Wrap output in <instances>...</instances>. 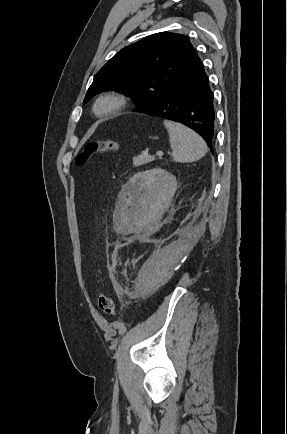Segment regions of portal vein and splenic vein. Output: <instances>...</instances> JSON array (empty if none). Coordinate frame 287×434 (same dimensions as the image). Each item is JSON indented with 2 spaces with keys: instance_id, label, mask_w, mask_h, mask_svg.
<instances>
[{
  "instance_id": "18ae733b",
  "label": "portal vein and splenic vein",
  "mask_w": 287,
  "mask_h": 434,
  "mask_svg": "<svg viewBox=\"0 0 287 434\" xmlns=\"http://www.w3.org/2000/svg\"><path fill=\"white\" fill-rule=\"evenodd\" d=\"M156 155H157L158 157H161V156H163V152H162V151H157V152H156Z\"/></svg>"
}]
</instances>
